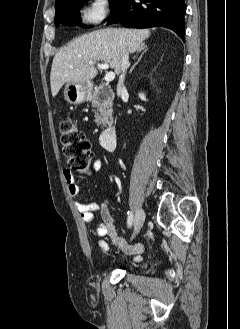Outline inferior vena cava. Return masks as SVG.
<instances>
[{
    "instance_id": "inferior-vena-cava-1",
    "label": "inferior vena cava",
    "mask_w": 240,
    "mask_h": 329,
    "mask_svg": "<svg viewBox=\"0 0 240 329\" xmlns=\"http://www.w3.org/2000/svg\"><path fill=\"white\" fill-rule=\"evenodd\" d=\"M128 67H129V53L126 50H123L122 58H121V75L119 77V82L117 85V95L118 96L122 95L126 91V88H125L123 82H124L125 74H126Z\"/></svg>"
}]
</instances>
